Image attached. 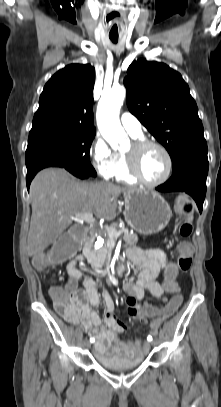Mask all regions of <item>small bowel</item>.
<instances>
[{
    "instance_id": "small-bowel-1",
    "label": "small bowel",
    "mask_w": 221,
    "mask_h": 407,
    "mask_svg": "<svg viewBox=\"0 0 221 407\" xmlns=\"http://www.w3.org/2000/svg\"><path fill=\"white\" fill-rule=\"evenodd\" d=\"M127 255L136 266L142 268L136 282L126 281L124 283V290L127 293V310L132 320L137 322L132 314L136 311V307L150 305L148 303H140L146 292L155 298L161 299L166 305L169 300L164 298V294L169 293L174 295L176 292L180 293V287L178 284L176 286H165L163 281H158L160 276L163 278L164 267L168 265L167 261L169 260L163 250L158 248L140 249L131 247L127 250ZM82 260L83 257L78 255L67 264L69 280L66 286L73 289L79 296V299L69 313L62 316L69 323L79 325L87 335L94 338V348L98 353L124 355L128 358L143 354L147 347L146 344L142 342H124L119 339L118 335L123 333L127 326L116 318L114 314V301L105 290H103L105 326L101 325V318L95 310V308L100 306L99 292L101 289L93 278L83 275L79 267ZM79 284L82 286L81 290L78 289ZM172 314H169V316ZM159 324V320L153 321L151 323V330L156 331Z\"/></svg>"
}]
</instances>
